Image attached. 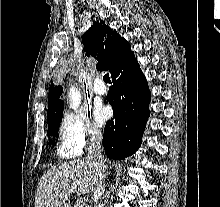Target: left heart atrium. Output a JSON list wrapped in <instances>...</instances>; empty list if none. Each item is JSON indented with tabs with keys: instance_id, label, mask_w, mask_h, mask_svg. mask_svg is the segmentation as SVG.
<instances>
[{
	"instance_id": "left-heart-atrium-1",
	"label": "left heart atrium",
	"mask_w": 220,
	"mask_h": 207,
	"mask_svg": "<svg viewBox=\"0 0 220 207\" xmlns=\"http://www.w3.org/2000/svg\"><path fill=\"white\" fill-rule=\"evenodd\" d=\"M110 117L109 110L105 107H97L94 111V120L101 127Z\"/></svg>"
}]
</instances>
